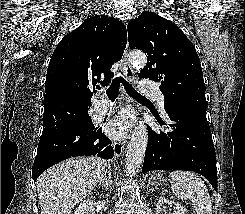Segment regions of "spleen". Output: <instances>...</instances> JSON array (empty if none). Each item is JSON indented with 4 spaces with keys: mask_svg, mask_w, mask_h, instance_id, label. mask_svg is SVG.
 I'll return each mask as SVG.
<instances>
[{
    "mask_svg": "<svg viewBox=\"0 0 245 214\" xmlns=\"http://www.w3.org/2000/svg\"><path fill=\"white\" fill-rule=\"evenodd\" d=\"M171 179L172 193L178 199L191 200L196 214H212L208 189L197 174L190 171H173Z\"/></svg>",
    "mask_w": 245,
    "mask_h": 214,
    "instance_id": "3e777b00",
    "label": "spleen"
}]
</instances>
